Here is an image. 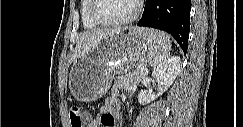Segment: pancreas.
I'll return each mask as SVG.
<instances>
[{
  "instance_id": "cf45deb5",
  "label": "pancreas",
  "mask_w": 243,
  "mask_h": 127,
  "mask_svg": "<svg viewBox=\"0 0 243 127\" xmlns=\"http://www.w3.org/2000/svg\"><path fill=\"white\" fill-rule=\"evenodd\" d=\"M144 77V74L141 73L140 69H135L128 74L122 75L119 77L120 81L123 82L125 89L129 92H133L139 81Z\"/></svg>"
}]
</instances>
